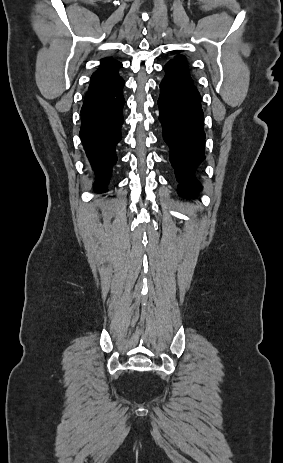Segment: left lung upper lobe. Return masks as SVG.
Returning <instances> with one entry per match:
<instances>
[{
  "label": "left lung upper lobe",
  "mask_w": 283,
  "mask_h": 463,
  "mask_svg": "<svg viewBox=\"0 0 283 463\" xmlns=\"http://www.w3.org/2000/svg\"><path fill=\"white\" fill-rule=\"evenodd\" d=\"M172 61H175L178 64L182 65L183 67L187 68V62L183 56H177Z\"/></svg>",
  "instance_id": "1"
}]
</instances>
